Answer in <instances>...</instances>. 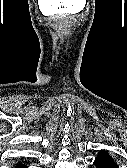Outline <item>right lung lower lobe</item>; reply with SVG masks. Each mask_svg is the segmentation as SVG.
Instances as JSON below:
<instances>
[{"instance_id": "right-lung-lower-lobe-1", "label": "right lung lower lobe", "mask_w": 127, "mask_h": 168, "mask_svg": "<svg viewBox=\"0 0 127 168\" xmlns=\"http://www.w3.org/2000/svg\"><path fill=\"white\" fill-rule=\"evenodd\" d=\"M15 168H26L25 164L17 163Z\"/></svg>"}]
</instances>
